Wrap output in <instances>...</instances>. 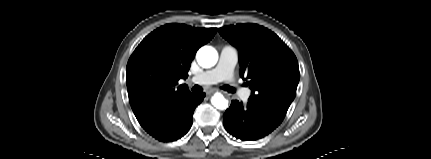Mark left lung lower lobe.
I'll return each mask as SVG.
<instances>
[{"label":"left lung lower lobe","instance_id":"left-lung-lower-lobe-1","mask_svg":"<svg viewBox=\"0 0 431 159\" xmlns=\"http://www.w3.org/2000/svg\"><path fill=\"white\" fill-rule=\"evenodd\" d=\"M285 115L266 105L249 101L243 105L233 100L223 115V123L226 131L237 139L254 141L276 129Z\"/></svg>","mask_w":431,"mask_h":159}]
</instances>
